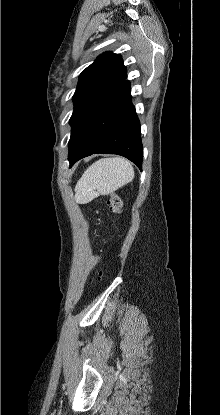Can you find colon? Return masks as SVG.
Returning a JSON list of instances; mask_svg holds the SVG:
<instances>
[{
    "instance_id": "1",
    "label": "colon",
    "mask_w": 220,
    "mask_h": 415,
    "mask_svg": "<svg viewBox=\"0 0 220 415\" xmlns=\"http://www.w3.org/2000/svg\"><path fill=\"white\" fill-rule=\"evenodd\" d=\"M109 205L114 213H120L123 207V202L118 195L112 194L109 198Z\"/></svg>"
}]
</instances>
